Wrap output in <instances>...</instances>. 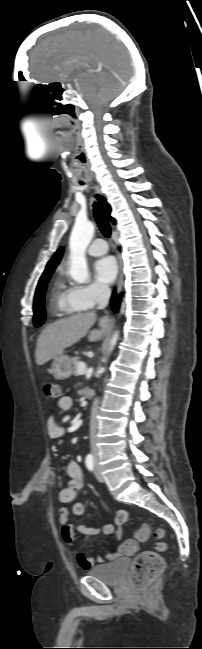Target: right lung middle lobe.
Here are the masks:
<instances>
[{
	"label": "right lung middle lobe",
	"mask_w": 202,
	"mask_h": 649,
	"mask_svg": "<svg viewBox=\"0 0 202 649\" xmlns=\"http://www.w3.org/2000/svg\"><path fill=\"white\" fill-rule=\"evenodd\" d=\"M52 273L53 272H49L45 275H42L36 288L33 302V321L35 327L41 326L45 321L44 295L46 292L47 283L49 282Z\"/></svg>",
	"instance_id": "1"
}]
</instances>
